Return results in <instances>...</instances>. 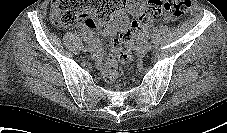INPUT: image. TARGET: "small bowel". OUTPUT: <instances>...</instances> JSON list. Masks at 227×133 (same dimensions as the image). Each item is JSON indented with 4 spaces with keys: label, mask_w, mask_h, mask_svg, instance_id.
Listing matches in <instances>:
<instances>
[{
    "label": "small bowel",
    "mask_w": 227,
    "mask_h": 133,
    "mask_svg": "<svg viewBox=\"0 0 227 133\" xmlns=\"http://www.w3.org/2000/svg\"><path fill=\"white\" fill-rule=\"evenodd\" d=\"M131 2H136L140 5L143 3L142 0H130L126 5L117 9L109 21L100 22L99 28L105 35L114 36L118 33L124 34L130 31L132 25L130 22V16L134 13ZM125 6H127V9L124 8ZM166 20L170 21L171 18L167 17ZM80 33L83 39L93 47L95 50V57L100 61L102 51L98 41L94 38L92 28L80 27ZM143 34L144 31L140 32L138 36H143Z\"/></svg>",
    "instance_id": "1"
}]
</instances>
